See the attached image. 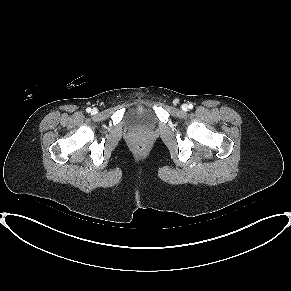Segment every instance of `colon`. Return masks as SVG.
Here are the masks:
<instances>
[{
	"label": "colon",
	"mask_w": 291,
	"mask_h": 291,
	"mask_svg": "<svg viewBox=\"0 0 291 291\" xmlns=\"http://www.w3.org/2000/svg\"><path fill=\"white\" fill-rule=\"evenodd\" d=\"M145 149H146V147H145V145L144 144H142V143H138V144H136V150L138 151V152H144L145 151Z\"/></svg>",
	"instance_id": "5ec220e1"
}]
</instances>
